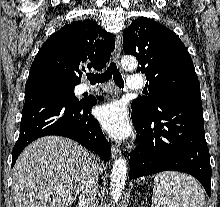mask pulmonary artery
I'll list each match as a JSON object with an SVG mask.
<instances>
[{
	"mask_svg": "<svg viewBox=\"0 0 220 207\" xmlns=\"http://www.w3.org/2000/svg\"><path fill=\"white\" fill-rule=\"evenodd\" d=\"M144 87V81L141 77L139 76H130L127 80V88L129 90H140ZM93 92H98L99 90L94 88L91 89Z\"/></svg>",
	"mask_w": 220,
	"mask_h": 207,
	"instance_id": "1",
	"label": "pulmonary artery"
}]
</instances>
